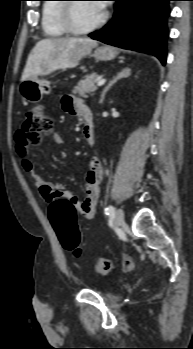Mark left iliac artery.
<instances>
[{"instance_id": "44dca946", "label": "left iliac artery", "mask_w": 193, "mask_h": 349, "mask_svg": "<svg viewBox=\"0 0 193 349\" xmlns=\"http://www.w3.org/2000/svg\"><path fill=\"white\" fill-rule=\"evenodd\" d=\"M114 207L112 205L108 206L106 209H105V213L107 215H111V214H114Z\"/></svg>"}]
</instances>
